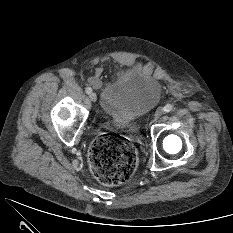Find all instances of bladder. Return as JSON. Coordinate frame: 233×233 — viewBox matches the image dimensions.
Returning <instances> with one entry per match:
<instances>
[{"instance_id": "obj_1", "label": "bladder", "mask_w": 233, "mask_h": 233, "mask_svg": "<svg viewBox=\"0 0 233 233\" xmlns=\"http://www.w3.org/2000/svg\"><path fill=\"white\" fill-rule=\"evenodd\" d=\"M162 95L161 83L134 66L120 71L100 89L99 105L112 120L130 122L154 108Z\"/></svg>"}]
</instances>
